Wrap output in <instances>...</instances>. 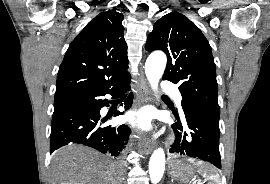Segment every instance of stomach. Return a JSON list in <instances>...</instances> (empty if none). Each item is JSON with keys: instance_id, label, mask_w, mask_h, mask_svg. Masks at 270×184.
Returning a JSON list of instances; mask_svg holds the SVG:
<instances>
[{"instance_id": "obj_1", "label": "stomach", "mask_w": 270, "mask_h": 184, "mask_svg": "<svg viewBox=\"0 0 270 184\" xmlns=\"http://www.w3.org/2000/svg\"><path fill=\"white\" fill-rule=\"evenodd\" d=\"M170 175L172 178L186 184L195 176L194 168L181 160H172L169 164Z\"/></svg>"}]
</instances>
